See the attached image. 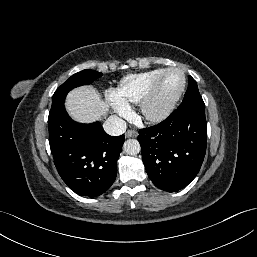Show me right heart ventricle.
Returning <instances> with one entry per match:
<instances>
[{
    "label": "right heart ventricle",
    "instance_id": "obj_1",
    "mask_svg": "<svg viewBox=\"0 0 257 257\" xmlns=\"http://www.w3.org/2000/svg\"><path fill=\"white\" fill-rule=\"evenodd\" d=\"M165 69L166 68H158L123 78L112 93L115 104L127 109L133 105L139 104L153 85L156 78Z\"/></svg>",
    "mask_w": 257,
    "mask_h": 257
}]
</instances>
